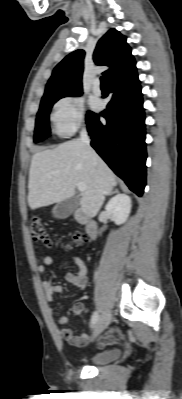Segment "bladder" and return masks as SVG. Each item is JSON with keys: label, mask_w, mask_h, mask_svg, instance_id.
Instances as JSON below:
<instances>
[{"label": "bladder", "mask_w": 182, "mask_h": 399, "mask_svg": "<svg viewBox=\"0 0 182 399\" xmlns=\"http://www.w3.org/2000/svg\"><path fill=\"white\" fill-rule=\"evenodd\" d=\"M121 356V350L113 349L103 352H98L92 355L88 361L92 365H102L117 360Z\"/></svg>", "instance_id": "obj_1"}]
</instances>
